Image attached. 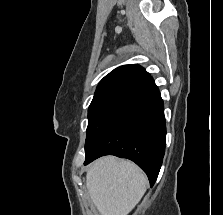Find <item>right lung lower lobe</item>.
<instances>
[{
  "mask_svg": "<svg viewBox=\"0 0 223 215\" xmlns=\"http://www.w3.org/2000/svg\"><path fill=\"white\" fill-rule=\"evenodd\" d=\"M166 141L164 104L157 91L133 107L86 154L85 165L104 155L135 162L148 176L152 187L159 174Z\"/></svg>",
  "mask_w": 223,
  "mask_h": 215,
  "instance_id": "98d812e1",
  "label": "right lung lower lobe"
}]
</instances>
